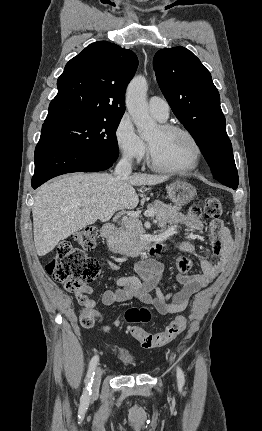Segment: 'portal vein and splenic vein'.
<instances>
[{
    "label": "portal vein and splenic vein",
    "mask_w": 262,
    "mask_h": 431,
    "mask_svg": "<svg viewBox=\"0 0 262 431\" xmlns=\"http://www.w3.org/2000/svg\"><path fill=\"white\" fill-rule=\"evenodd\" d=\"M127 215L130 216V217H132V218L139 217V214L137 212H134V211L127 212ZM144 215L147 216V217H152L153 218L154 217V212H152V211H146Z\"/></svg>",
    "instance_id": "portal-vein-and-splenic-vein-1"
}]
</instances>
